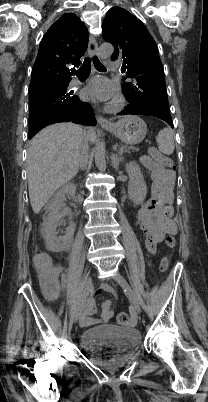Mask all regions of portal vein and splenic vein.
<instances>
[{"label": "portal vein and splenic vein", "mask_w": 208, "mask_h": 402, "mask_svg": "<svg viewBox=\"0 0 208 402\" xmlns=\"http://www.w3.org/2000/svg\"><path fill=\"white\" fill-rule=\"evenodd\" d=\"M119 148H120V149H119L118 151H116V154L121 155V154L124 152V149H123V148H124V145H123V144H120V145H119Z\"/></svg>", "instance_id": "18ae733b"}]
</instances>
